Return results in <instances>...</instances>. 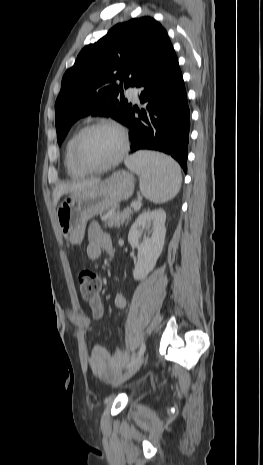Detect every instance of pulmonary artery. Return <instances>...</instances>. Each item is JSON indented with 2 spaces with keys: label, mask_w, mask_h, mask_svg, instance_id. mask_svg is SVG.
Returning a JSON list of instances; mask_svg holds the SVG:
<instances>
[{
  "label": "pulmonary artery",
  "mask_w": 263,
  "mask_h": 465,
  "mask_svg": "<svg viewBox=\"0 0 263 465\" xmlns=\"http://www.w3.org/2000/svg\"><path fill=\"white\" fill-rule=\"evenodd\" d=\"M126 95L127 97L132 100V101H135L137 102L138 101V91L136 88L134 87H129L127 90H126Z\"/></svg>",
  "instance_id": "pulmonary-artery-1"
}]
</instances>
